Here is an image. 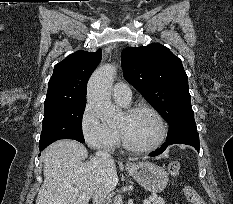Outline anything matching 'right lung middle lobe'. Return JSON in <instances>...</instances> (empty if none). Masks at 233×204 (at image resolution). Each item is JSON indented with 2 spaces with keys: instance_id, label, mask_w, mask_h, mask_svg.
Masks as SVG:
<instances>
[{
  "instance_id": "dd1d6c3e",
  "label": "right lung middle lobe",
  "mask_w": 233,
  "mask_h": 204,
  "mask_svg": "<svg viewBox=\"0 0 233 204\" xmlns=\"http://www.w3.org/2000/svg\"><path fill=\"white\" fill-rule=\"evenodd\" d=\"M85 101H65L44 104V119L39 148L59 139H74L84 143L82 114Z\"/></svg>"
}]
</instances>
